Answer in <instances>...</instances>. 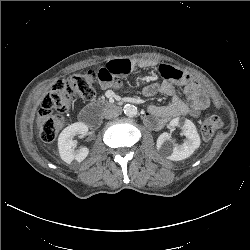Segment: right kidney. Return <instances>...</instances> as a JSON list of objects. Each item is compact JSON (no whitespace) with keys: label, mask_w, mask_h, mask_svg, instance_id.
Here are the masks:
<instances>
[{"label":"right kidney","mask_w":250,"mask_h":250,"mask_svg":"<svg viewBox=\"0 0 250 250\" xmlns=\"http://www.w3.org/2000/svg\"><path fill=\"white\" fill-rule=\"evenodd\" d=\"M88 127L82 122H76L66 127L59 135L58 149L61 159L70 164L73 160L82 162L88 155L89 149L83 147L77 151L74 150L76 141L73 138L76 135H86Z\"/></svg>","instance_id":"1"}]
</instances>
